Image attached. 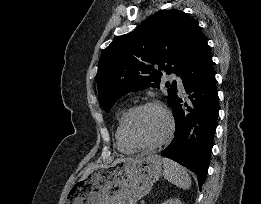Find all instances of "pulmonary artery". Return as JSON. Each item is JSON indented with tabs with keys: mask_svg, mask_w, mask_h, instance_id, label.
Instances as JSON below:
<instances>
[{
	"mask_svg": "<svg viewBox=\"0 0 261 204\" xmlns=\"http://www.w3.org/2000/svg\"><path fill=\"white\" fill-rule=\"evenodd\" d=\"M171 78L176 82L177 87L180 91H184L182 79L176 75H172Z\"/></svg>",
	"mask_w": 261,
	"mask_h": 204,
	"instance_id": "e3ab8cb5",
	"label": "pulmonary artery"
}]
</instances>
